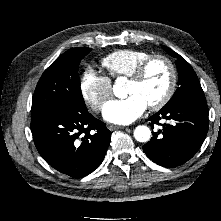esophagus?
<instances>
[{
  "instance_id": "1",
  "label": "esophagus",
  "mask_w": 221,
  "mask_h": 221,
  "mask_svg": "<svg viewBox=\"0 0 221 221\" xmlns=\"http://www.w3.org/2000/svg\"><path fill=\"white\" fill-rule=\"evenodd\" d=\"M110 131L118 130V129H124V126H116V125H110L109 127Z\"/></svg>"
}]
</instances>
